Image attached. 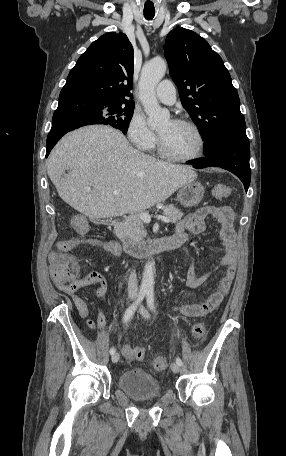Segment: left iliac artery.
I'll return each instance as SVG.
<instances>
[{"label": "left iliac artery", "mask_w": 286, "mask_h": 456, "mask_svg": "<svg viewBox=\"0 0 286 456\" xmlns=\"http://www.w3.org/2000/svg\"><path fill=\"white\" fill-rule=\"evenodd\" d=\"M147 305L148 307L152 310V311H155V302H154V291L152 289L148 290L147 291ZM176 363L179 364L180 366L182 365V360L177 357L176 358Z\"/></svg>", "instance_id": "1"}]
</instances>
